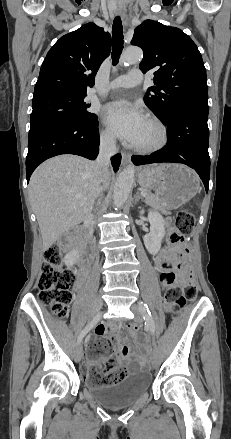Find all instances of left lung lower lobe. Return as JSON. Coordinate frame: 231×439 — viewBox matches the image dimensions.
<instances>
[{
    "label": "left lung lower lobe",
    "instance_id": "1",
    "mask_svg": "<svg viewBox=\"0 0 231 439\" xmlns=\"http://www.w3.org/2000/svg\"><path fill=\"white\" fill-rule=\"evenodd\" d=\"M208 111L207 103L196 102L184 103L173 108L161 120L168 127V144L149 156H133L134 163L185 164L199 174L207 192L210 179Z\"/></svg>",
    "mask_w": 231,
    "mask_h": 439
}]
</instances>
